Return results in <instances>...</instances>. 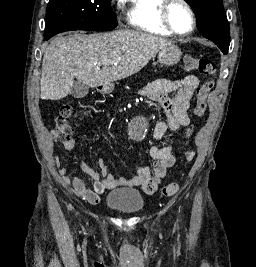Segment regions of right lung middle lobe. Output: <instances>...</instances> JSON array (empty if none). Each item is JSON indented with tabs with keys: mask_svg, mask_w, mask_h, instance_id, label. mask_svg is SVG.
<instances>
[{
	"mask_svg": "<svg viewBox=\"0 0 256 267\" xmlns=\"http://www.w3.org/2000/svg\"><path fill=\"white\" fill-rule=\"evenodd\" d=\"M111 0H50L44 38L70 30H111L117 26Z\"/></svg>",
	"mask_w": 256,
	"mask_h": 267,
	"instance_id": "obj_1",
	"label": "right lung middle lobe"
}]
</instances>
